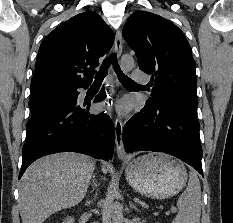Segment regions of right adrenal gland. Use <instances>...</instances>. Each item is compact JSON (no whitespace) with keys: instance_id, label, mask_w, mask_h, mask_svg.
Listing matches in <instances>:
<instances>
[{"instance_id":"1","label":"right adrenal gland","mask_w":233,"mask_h":223,"mask_svg":"<svg viewBox=\"0 0 233 223\" xmlns=\"http://www.w3.org/2000/svg\"><path fill=\"white\" fill-rule=\"evenodd\" d=\"M96 195H97V191H95V193H94V195H92V197H89V199H86L85 205H87V207H90V205H91V203H93Z\"/></svg>"}]
</instances>
